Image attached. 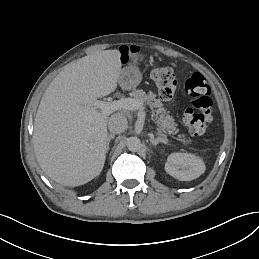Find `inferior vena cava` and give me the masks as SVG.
I'll use <instances>...</instances> for the list:
<instances>
[{
    "label": "inferior vena cava",
    "mask_w": 259,
    "mask_h": 259,
    "mask_svg": "<svg viewBox=\"0 0 259 259\" xmlns=\"http://www.w3.org/2000/svg\"><path fill=\"white\" fill-rule=\"evenodd\" d=\"M127 127H128V122H127V118L124 115L120 113H116L109 118L108 128L110 132L114 134H120L124 132L127 129Z\"/></svg>",
    "instance_id": "1"
}]
</instances>
